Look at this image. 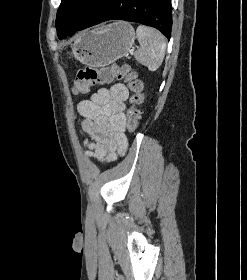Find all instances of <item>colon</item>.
Listing matches in <instances>:
<instances>
[{
	"instance_id": "5ec220e1",
	"label": "colon",
	"mask_w": 247,
	"mask_h": 280,
	"mask_svg": "<svg viewBox=\"0 0 247 280\" xmlns=\"http://www.w3.org/2000/svg\"><path fill=\"white\" fill-rule=\"evenodd\" d=\"M115 79L124 80L132 96L130 97V107L126 113V126L130 132H134L139 122V105L142 102L143 84L137 74L128 65L119 66L112 64L103 67H86L78 71L74 81L73 90L76 94H83L96 85L109 84Z\"/></svg>"
}]
</instances>
